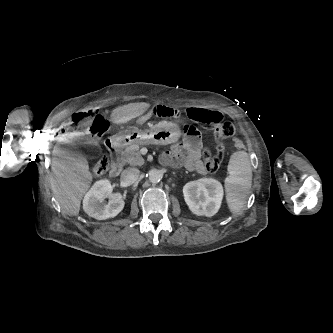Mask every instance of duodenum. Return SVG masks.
Segmentation results:
<instances>
[{"label": "duodenum", "instance_id": "obj_1", "mask_svg": "<svg viewBox=\"0 0 333 333\" xmlns=\"http://www.w3.org/2000/svg\"><path fill=\"white\" fill-rule=\"evenodd\" d=\"M108 152L111 158V164L109 168V175L116 177L122 170V165L119 160V152L121 149V143L117 141H110L107 144Z\"/></svg>", "mask_w": 333, "mask_h": 333}]
</instances>
